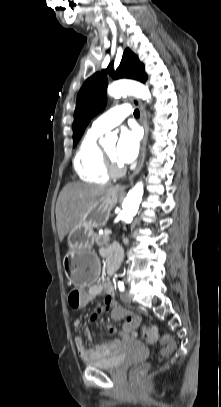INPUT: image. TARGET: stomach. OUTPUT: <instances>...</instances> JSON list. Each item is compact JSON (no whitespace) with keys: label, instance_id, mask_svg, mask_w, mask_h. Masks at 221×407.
Returning <instances> with one entry per match:
<instances>
[{"label":"stomach","instance_id":"stomach-1","mask_svg":"<svg viewBox=\"0 0 221 407\" xmlns=\"http://www.w3.org/2000/svg\"><path fill=\"white\" fill-rule=\"evenodd\" d=\"M118 198L119 195L113 190L105 192L69 231V251L63 259V267L76 286L90 285L99 275V260L92 251L96 237L94 228L102 227L107 223Z\"/></svg>","mask_w":221,"mask_h":407}]
</instances>
